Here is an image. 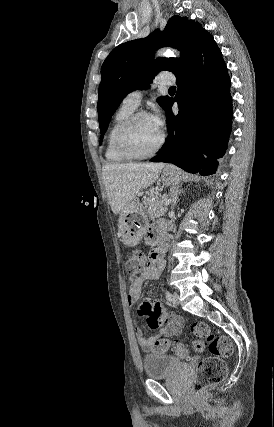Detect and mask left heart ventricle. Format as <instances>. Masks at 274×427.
<instances>
[{
    "instance_id": "obj_1",
    "label": "left heart ventricle",
    "mask_w": 274,
    "mask_h": 427,
    "mask_svg": "<svg viewBox=\"0 0 274 427\" xmlns=\"http://www.w3.org/2000/svg\"><path fill=\"white\" fill-rule=\"evenodd\" d=\"M162 131L158 129L150 116L139 119L132 127L129 134V146L139 155L153 151L158 145Z\"/></svg>"
}]
</instances>
